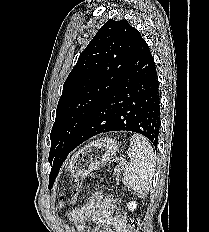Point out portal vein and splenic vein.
I'll use <instances>...</instances> for the list:
<instances>
[{"instance_id":"portal-vein-and-splenic-vein-1","label":"portal vein and splenic vein","mask_w":209,"mask_h":232,"mask_svg":"<svg viewBox=\"0 0 209 232\" xmlns=\"http://www.w3.org/2000/svg\"><path fill=\"white\" fill-rule=\"evenodd\" d=\"M124 160H125L124 158H121V159H120V162H121V163H123V162H124Z\"/></svg>"}]
</instances>
